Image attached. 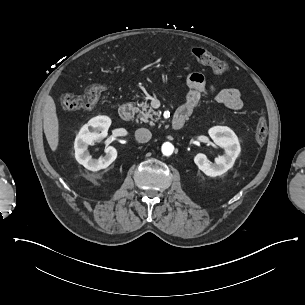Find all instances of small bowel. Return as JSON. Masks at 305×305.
<instances>
[{"mask_svg": "<svg viewBox=\"0 0 305 305\" xmlns=\"http://www.w3.org/2000/svg\"><path fill=\"white\" fill-rule=\"evenodd\" d=\"M189 92L185 103L180 106L177 113L190 116L204 95H212L214 99L229 110L241 109L243 102L240 92L235 88L218 89L203 74L191 73L187 77Z\"/></svg>", "mask_w": 305, "mask_h": 305, "instance_id": "1", "label": "small bowel"}]
</instances>
